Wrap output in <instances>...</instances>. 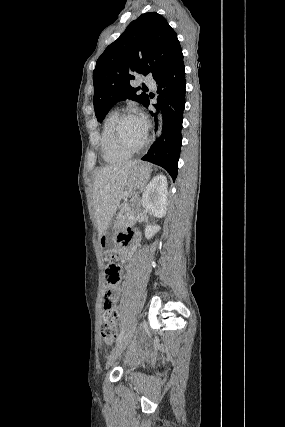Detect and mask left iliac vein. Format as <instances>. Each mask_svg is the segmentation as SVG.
Listing matches in <instances>:
<instances>
[{
    "label": "left iliac vein",
    "mask_w": 285,
    "mask_h": 427,
    "mask_svg": "<svg viewBox=\"0 0 285 427\" xmlns=\"http://www.w3.org/2000/svg\"><path fill=\"white\" fill-rule=\"evenodd\" d=\"M137 332V320L133 321L126 336L116 345L108 357L106 368H109L112 363L119 357V355L125 350L127 345L131 342L132 338Z\"/></svg>",
    "instance_id": "left-iliac-vein-1"
}]
</instances>
